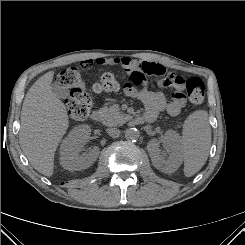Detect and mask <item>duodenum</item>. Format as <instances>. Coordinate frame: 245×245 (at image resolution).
Listing matches in <instances>:
<instances>
[{"mask_svg": "<svg viewBox=\"0 0 245 245\" xmlns=\"http://www.w3.org/2000/svg\"><path fill=\"white\" fill-rule=\"evenodd\" d=\"M91 119L94 122H100L102 120V113L100 111H97V110L92 112ZM149 121H151V118L147 117V116H136L132 119V123L134 125H141V124H143L145 122H149Z\"/></svg>", "mask_w": 245, "mask_h": 245, "instance_id": "1", "label": "duodenum"}]
</instances>
